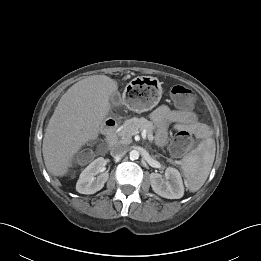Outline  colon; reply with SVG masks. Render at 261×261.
I'll return each instance as SVG.
<instances>
[{"label": "colon", "mask_w": 261, "mask_h": 261, "mask_svg": "<svg viewBox=\"0 0 261 261\" xmlns=\"http://www.w3.org/2000/svg\"><path fill=\"white\" fill-rule=\"evenodd\" d=\"M174 102L183 108H189L194 103V95L190 89L182 85L173 86L170 90ZM193 139L191 132L183 130L177 133L174 137L171 150L176 155H182L193 146ZM90 154L87 151H83L79 155V159L88 160Z\"/></svg>", "instance_id": "5ec220e1"}]
</instances>
